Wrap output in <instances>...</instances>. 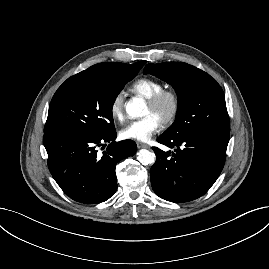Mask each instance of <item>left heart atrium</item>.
<instances>
[{
	"instance_id": "left-heart-atrium-1",
	"label": "left heart atrium",
	"mask_w": 269,
	"mask_h": 269,
	"mask_svg": "<svg viewBox=\"0 0 269 269\" xmlns=\"http://www.w3.org/2000/svg\"><path fill=\"white\" fill-rule=\"evenodd\" d=\"M161 125V121L156 116L149 114L127 124L120 131V136L123 139L146 142L160 130Z\"/></svg>"
}]
</instances>
